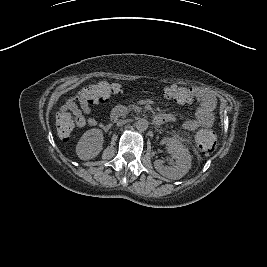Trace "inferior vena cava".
Instances as JSON below:
<instances>
[{"mask_svg": "<svg viewBox=\"0 0 267 267\" xmlns=\"http://www.w3.org/2000/svg\"><path fill=\"white\" fill-rule=\"evenodd\" d=\"M127 122V120H121L120 122H118L119 125H123Z\"/></svg>", "mask_w": 267, "mask_h": 267, "instance_id": "obj_1", "label": "inferior vena cava"}]
</instances>
